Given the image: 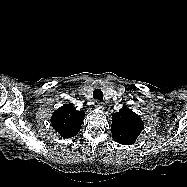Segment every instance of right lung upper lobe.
Segmentation results:
<instances>
[{"label": "right lung upper lobe", "instance_id": "1", "mask_svg": "<svg viewBox=\"0 0 187 187\" xmlns=\"http://www.w3.org/2000/svg\"><path fill=\"white\" fill-rule=\"evenodd\" d=\"M84 116V111H78L72 104H66L53 113L52 127L63 138L73 137L81 129Z\"/></svg>", "mask_w": 187, "mask_h": 187}]
</instances>
